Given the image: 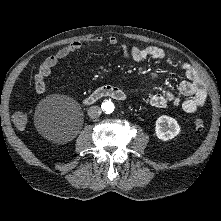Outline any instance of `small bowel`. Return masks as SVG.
<instances>
[{
    "instance_id": "1",
    "label": "small bowel",
    "mask_w": 221,
    "mask_h": 221,
    "mask_svg": "<svg viewBox=\"0 0 221 221\" xmlns=\"http://www.w3.org/2000/svg\"><path fill=\"white\" fill-rule=\"evenodd\" d=\"M105 41L103 37H94L84 41H75L63 48L56 54L46 58L40 65L38 72L34 76V88L37 94H43L47 90L45 79L48 77L54 67L63 59L80 51L83 48H89L102 44ZM111 46L119 45L123 55L133 61L139 62L147 58H152L158 61H163L166 58V53L156 46H128L125 43H120L119 40L110 36L106 39ZM181 69L184 71L186 80L180 84V92L186 97L182 100L174 93L168 90H163L161 93L150 97L149 104L155 108H165L168 105L180 106L187 114H195L207 101V92L205 85L200 78L198 72L189 64H181Z\"/></svg>"
}]
</instances>
